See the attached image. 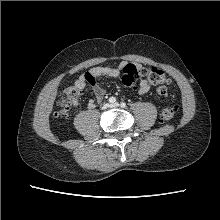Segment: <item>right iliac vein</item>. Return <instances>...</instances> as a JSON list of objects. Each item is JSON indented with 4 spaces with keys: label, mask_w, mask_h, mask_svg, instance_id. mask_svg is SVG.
I'll return each mask as SVG.
<instances>
[{
    "label": "right iliac vein",
    "mask_w": 220,
    "mask_h": 220,
    "mask_svg": "<svg viewBox=\"0 0 220 220\" xmlns=\"http://www.w3.org/2000/svg\"><path fill=\"white\" fill-rule=\"evenodd\" d=\"M108 107H109V104H105V105H104V108H108Z\"/></svg>",
    "instance_id": "obj_1"
}]
</instances>
